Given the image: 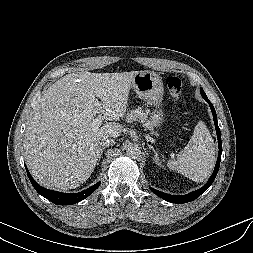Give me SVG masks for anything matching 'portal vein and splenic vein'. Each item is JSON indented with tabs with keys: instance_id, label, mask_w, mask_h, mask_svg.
<instances>
[{
	"instance_id": "portal-vein-and-splenic-vein-1",
	"label": "portal vein and splenic vein",
	"mask_w": 253,
	"mask_h": 253,
	"mask_svg": "<svg viewBox=\"0 0 253 253\" xmlns=\"http://www.w3.org/2000/svg\"><path fill=\"white\" fill-rule=\"evenodd\" d=\"M97 104H99V101H97ZM103 122L102 115H98L95 119L92 120V125L95 128H98Z\"/></svg>"
}]
</instances>
